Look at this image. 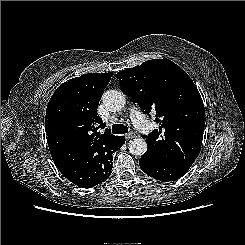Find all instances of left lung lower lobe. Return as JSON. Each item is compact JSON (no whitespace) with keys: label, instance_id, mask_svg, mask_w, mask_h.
<instances>
[{"label":"left lung lower lobe","instance_id":"1","mask_svg":"<svg viewBox=\"0 0 245 245\" xmlns=\"http://www.w3.org/2000/svg\"><path fill=\"white\" fill-rule=\"evenodd\" d=\"M139 165L147 175L163 182L174 181L181 178L190 168L158 162L145 155L140 158Z\"/></svg>","mask_w":245,"mask_h":245}]
</instances>
